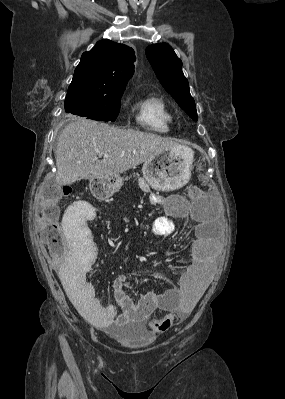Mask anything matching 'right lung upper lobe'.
I'll return each mask as SVG.
<instances>
[{"mask_svg":"<svg viewBox=\"0 0 285 399\" xmlns=\"http://www.w3.org/2000/svg\"><path fill=\"white\" fill-rule=\"evenodd\" d=\"M134 50L127 45L101 40L84 52L76 67L67 95L110 96L125 90L133 75Z\"/></svg>","mask_w":285,"mask_h":399,"instance_id":"right-lung-upper-lobe-1","label":"right lung upper lobe"}]
</instances>
